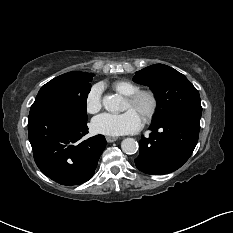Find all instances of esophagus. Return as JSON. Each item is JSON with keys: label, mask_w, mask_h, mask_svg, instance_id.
Wrapping results in <instances>:
<instances>
[{"label": "esophagus", "mask_w": 233, "mask_h": 233, "mask_svg": "<svg viewBox=\"0 0 233 233\" xmlns=\"http://www.w3.org/2000/svg\"><path fill=\"white\" fill-rule=\"evenodd\" d=\"M106 140H107L108 143H112V142L117 141L118 138H117V137L107 136V137H106Z\"/></svg>", "instance_id": "esophagus-1"}]
</instances>
